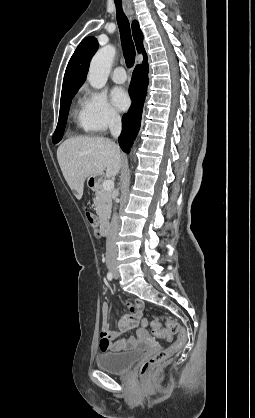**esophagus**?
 I'll return each mask as SVG.
<instances>
[{"instance_id":"1","label":"esophagus","mask_w":255,"mask_h":418,"mask_svg":"<svg viewBox=\"0 0 255 418\" xmlns=\"http://www.w3.org/2000/svg\"><path fill=\"white\" fill-rule=\"evenodd\" d=\"M129 9H130V11L132 10V9H131V6H129Z\"/></svg>"}]
</instances>
